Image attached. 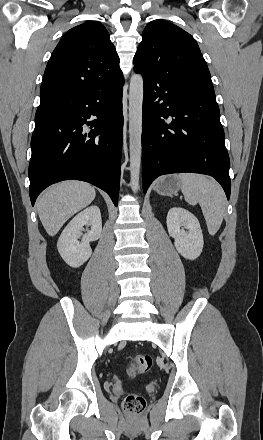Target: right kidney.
<instances>
[{
  "instance_id": "obj_1",
  "label": "right kidney",
  "mask_w": 263,
  "mask_h": 440,
  "mask_svg": "<svg viewBox=\"0 0 263 440\" xmlns=\"http://www.w3.org/2000/svg\"><path fill=\"white\" fill-rule=\"evenodd\" d=\"M84 225H90L91 230L82 235L81 230ZM101 232L100 209L92 205L77 214L65 227L57 243L58 252L69 266L80 267L92 254L90 242L98 240ZM80 238L81 242L78 241Z\"/></svg>"
}]
</instances>
